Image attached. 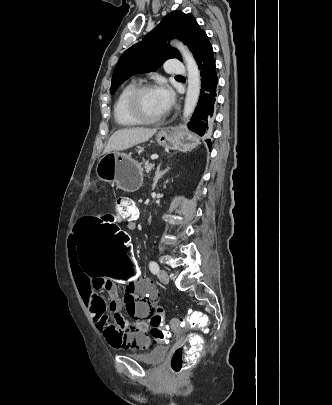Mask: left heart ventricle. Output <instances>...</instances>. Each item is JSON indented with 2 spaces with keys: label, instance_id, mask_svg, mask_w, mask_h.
<instances>
[{
  "label": "left heart ventricle",
  "instance_id": "left-heart-ventricle-1",
  "mask_svg": "<svg viewBox=\"0 0 332 405\" xmlns=\"http://www.w3.org/2000/svg\"><path fill=\"white\" fill-rule=\"evenodd\" d=\"M140 103L142 112L146 117L154 118L167 112L161 102L157 89L144 93Z\"/></svg>",
  "mask_w": 332,
  "mask_h": 405
}]
</instances>
